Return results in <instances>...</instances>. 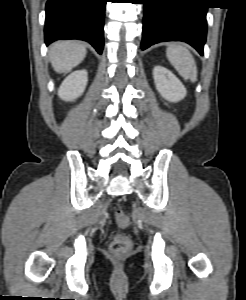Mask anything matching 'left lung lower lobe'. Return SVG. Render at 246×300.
I'll use <instances>...</instances> for the list:
<instances>
[{
  "label": "left lung lower lobe",
  "instance_id": "obj_1",
  "mask_svg": "<svg viewBox=\"0 0 246 300\" xmlns=\"http://www.w3.org/2000/svg\"><path fill=\"white\" fill-rule=\"evenodd\" d=\"M142 50L164 41H184L203 55L207 5L203 0H143Z\"/></svg>",
  "mask_w": 246,
  "mask_h": 300
}]
</instances>
